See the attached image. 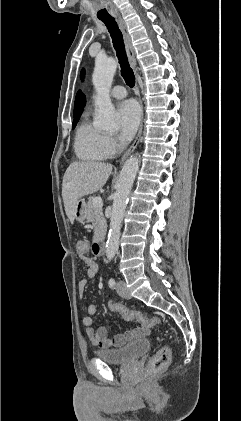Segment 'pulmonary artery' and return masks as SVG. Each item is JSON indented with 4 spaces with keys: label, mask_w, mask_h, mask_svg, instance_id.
<instances>
[{
    "label": "pulmonary artery",
    "mask_w": 241,
    "mask_h": 421,
    "mask_svg": "<svg viewBox=\"0 0 241 421\" xmlns=\"http://www.w3.org/2000/svg\"><path fill=\"white\" fill-rule=\"evenodd\" d=\"M126 95H127L126 89L120 85L115 86L110 92V96L115 99H122Z\"/></svg>",
    "instance_id": "pulmonary-artery-1"
}]
</instances>
